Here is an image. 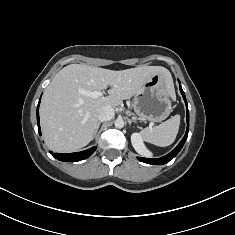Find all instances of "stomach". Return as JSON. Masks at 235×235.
Segmentation results:
<instances>
[{
  "mask_svg": "<svg viewBox=\"0 0 235 235\" xmlns=\"http://www.w3.org/2000/svg\"><path fill=\"white\" fill-rule=\"evenodd\" d=\"M134 109L141 121L161 122L169 116L170 93L161 74L152 76L135 94Z\"/></svg>",
  "mask_w": 235,
  "mask_h": 235,
  "instance_id": "0dacf381",
  "label": "stomach"
}]
</instances>
